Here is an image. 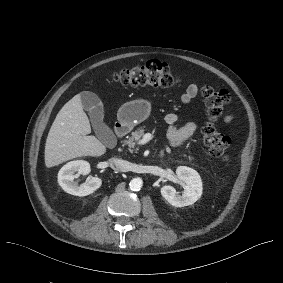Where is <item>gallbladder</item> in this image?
<instances>
[{"instance_id": "obj_1", "label": "gallbladder", "mask_w": 283, "mask_h": 283, "mask_svg": "<svg viewBox=\"0 0 283 283\" xmlns=\"http://www.w3.org/2000/svg\"><path fill=\"white\" fill-rule=\"evenodd\" d=\"M83 108L87 111L90 123L96 136L110 148L117 144L116 136L108 124L104 121V104L93 92L84 91L81 93Z\"/></svg>"}]
</instances>
